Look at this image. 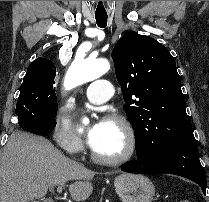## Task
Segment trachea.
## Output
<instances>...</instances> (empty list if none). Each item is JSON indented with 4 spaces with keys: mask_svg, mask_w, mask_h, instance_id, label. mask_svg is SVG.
I'll return each mask as SVG.
<instances>
[{
    "mask_svg": "<svg viewBox=\"0 0 209 202\" xmlns=\"http://www.w3.org/2000/svg\"><path fill=\"white\" fill-rule=\"evenodd\" d=\"M107 18V15L95 14L96 23L100 28H105L107 26Z\"/></svg>",
    "mask_w": 209,
    "mask_h": 202,
    "instance_id": "3493384b",
    "label": "trachea"
}]
</instances>
